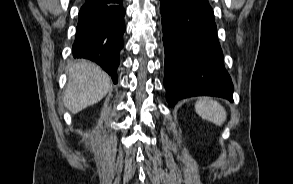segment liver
Masks as SVG:
<instances>
[{
    "mask_svg": "<svg viewBox=\"0 0 293 184\" xmlns=\"http://www.w3.org/2000/svg\"><path fill=\"white\" fill-rule=\"evenodd\" d=\"M64 105L73 114L100 101L110 89V77L99 66L79 60L68 66Z\"/></svg>",
    "mask_w": 293,
    "mask_h": 184,
    "instance_id": "liver-1",
    "label": "liver"
}]
</instances>
